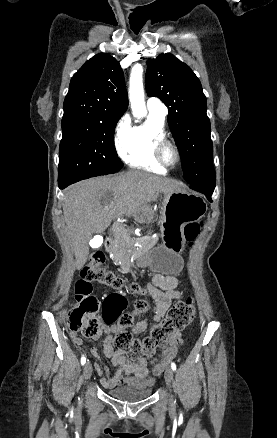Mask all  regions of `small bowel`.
I'll return each instance as SVG.
<instances>
[{
    "label": "small bowel",
    "instance_id": "c3829d8e",
    "mask_svg": "<svg viewBox=\"0 0 277 438\" xmlns=\"http://www.w3.org/2000/svg\"><path fill=\"white\" fill-rule=\"evenodd\" d=\"M177 284L178 280L175 276L156 274L153 277L148 285V293L155 302L154 314L150 320L136 322L131 328L133 333H143L148 328L150 322H157L164 317L172 301L179 299L181 296L180 292L176 290ZM118 330L119 328L115 326L104 327L100 335L96 337L102 340L103 352L116 368L113 374L112 369L104 366L105 371H102L103 386L113 388L117 385H128L138 389L152 387L156 378L163 373L169 361L175 355L177 346L181 341V334L177 332L170 337L169 346L160 355L161 360L159 363H149L144 358L135 362L130 361L122 352L114 348L113 335ZM70 338L76 346H81L83 343L82 338L77 333L71 332ZM90 353L96 356L99 350L93 347ZM149 365H151V369H149Z\"/></svg>",
    "mask_w": 277,
    "mask_h": 438
}]
</instances>
